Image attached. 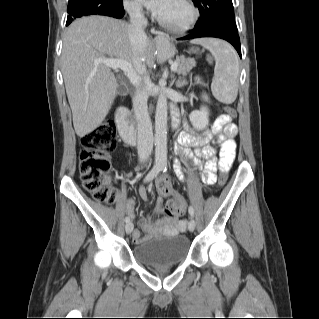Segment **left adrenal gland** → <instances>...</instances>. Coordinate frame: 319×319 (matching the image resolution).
<instances>
[{
  "label": "left adrenal gland",
  "instance_id": "left-adrenal-gland-1",
  "mask_svg": "<svg viewBox=\"0 0 319 319\" xmlns=\"http://www.w3.org/2000/svg\"><path fill=\"white\" fill-rule=\"evenodd\" d=\"M187 84V81L186 80H178L177 82H176V85H177V87L178 88H181V87H183V86H185Z\"/></svg>",
  "mask_w": 319,
  "mask_h": 319
}]
</instances>
